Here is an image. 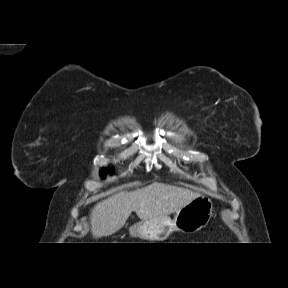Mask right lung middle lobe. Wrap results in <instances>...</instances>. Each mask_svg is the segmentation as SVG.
<instances>
[{
    "instance_id": "obj_1",
    "label": "right lung middle lobe",
    "mask_w": 288,
    "mask_h": 288,
    "mask_svg": "<svg viewBox=\"0 0 288 288\" xmlns=\"http://www.w3.org/2000/svg\"><path fill=\"white\" fill-rule=\"evenodd\" d=\"M112 170L111 169H108V168H103L101 170V174H102V177H105L107 173L111 172Z\"/></svg>"
}]
</instances>
